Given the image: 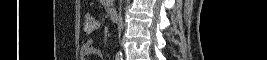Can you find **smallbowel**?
<instances>
[{
    "instance_id": "1",
    "label": "small bowel",
    "mask_w": 267,
    "mask_h": 60,
    "mask_svg": "<svg viewBox=\"0 0 267 60\" xmlns=\"http://www.w3.org/2000/svg\"><path fill=\"white\" fill-rule=\"evenodd\" d=\"M83 52L87 55H97L100 56L101 52L94 46L93 40H87L83 45Z\"/></svg>"
}]
</instances>
